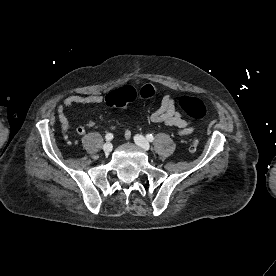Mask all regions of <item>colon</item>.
<instances>
[{
    "instance_id": "5ec220e1",
    "label": "colon",
    "mask_w": 276,
    "mask_h": 276,
    "mask_svg": "<svg viewBox=\"0 0 276 276\" xmlns=\"http://www.w3.org/2000/svg\"><path fill=\"white\" fill-rule=\"evenodd\" d=\"M156 94V89L151 84L143 85L139 90L142 98H150ZM137 96V92L130 86H125L107 96V103L111 107H123L132 103ZM180 108L192 119L200 120L205 116L206 110L204 104L195 97L181 96L178 99ZM198 141L192 140L189 143L188 150L194 153L198 149Z\"/></svg>"
}]
</instances>
